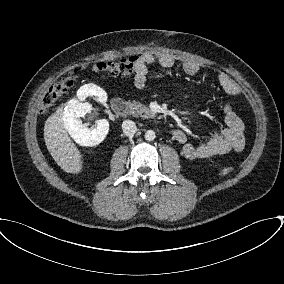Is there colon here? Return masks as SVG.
I'll list each match as a JSON object with an SVG mask.
<instances>
[{"mask_svg":"<svg viewBox=\"0 0 284 284\" xmlns=\"http://www.w3.org/2000/svg\"><path fill=\"white\" fill-rule=\"evenodd\" d=\"M137 61V57H129L117 61L100 62L96 65L99 70L105 71L111 76L125 77L135 72ZM81 69L82 68L80 67L76 69V72H71L48 89L41 103V111H47L68 89L72 87L77 78V73ZM220 172L222 175H228L232 172V168L225 166Z\"/></svg>","mask_w":284,"mask_h":284,"instance_id":"1","label":"colon"}]
</instances>
